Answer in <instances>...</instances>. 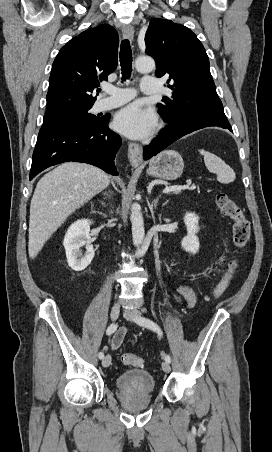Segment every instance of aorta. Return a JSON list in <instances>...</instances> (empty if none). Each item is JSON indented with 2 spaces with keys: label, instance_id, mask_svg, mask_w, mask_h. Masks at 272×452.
Returning <instances> with one entry per match:
<instances>
[{
  "label": "aorta",
  "instance_id": "1",
  "mask_svg": "<svg viewBox=\"0 0 272 452\" xmlns=\"http://www.w3.org/2000/svg\"><path fill=\"white\" fill-rule=\"evenodd\" d=\"M135 67L138 72L148 73L155 68V62L150 57H139L135 61ZM130 220L132 223V240L136 247H139L145 236L144 220L141 213V208L138 204H133L131 207Z\"/></svg>",
  "mask_w": 272,
  "mask_h": 452
}]
</instances>
